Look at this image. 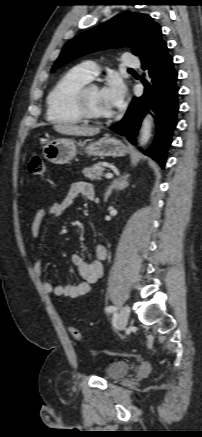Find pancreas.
<instances>
[{
	"label": "pancreas",
	"instance_id": "cf45deb5",
	"mask_svg": "<svg viewBox=\"0 0 202 437\" xmlns=\"http://www.w3.org/2000/svg\"><path fill=\"white\" fill-rule=\"evenodd\" d=\"M103 171H104V168L101 165V163H97V164L92 165L89 168H85L82 171V173L84 174V176L87 179L94 181V180H101V176L103 175Z\"/></svg>",
	"mask_w": 202,
	"mask_h": 437
}]
</instances>
